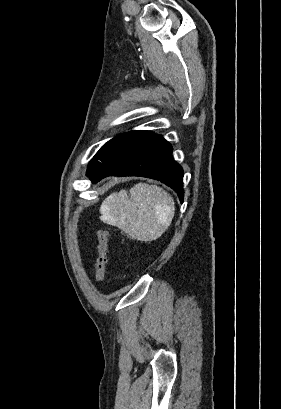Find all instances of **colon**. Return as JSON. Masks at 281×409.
<instances>
[{"instance_id": "colon-1", "label": "colon", "mask_w": 281, "mask_h": 409, "mask_svg": "<svg viewBox=\"0 0 281 409\" xmlns=\"http://www.w3.org/2000/svg\"><path fill=\"white\" fill-rule=\"evenodd\" d=\"M97 235V247L98 254L96 260V281L97 283H102L104 280L106 265L108 261V247H109V238L108 231L104 228H100L96 232Z\"/></svg>"}]
</instances>
